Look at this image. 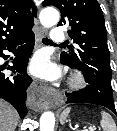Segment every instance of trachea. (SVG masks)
Segmentation results:
<instances>
[{
    "label": "trachea",
    "instance_id": "obj_1",
    "mask_svg": "<svg viewBox=\"0 0 117 131\" xmlns=\"http://www.w3.org/2000/svg\"><path fill=\"white\" fill-rule=\"evenodd\" d=\"M42 42L54 44V43H53L50 39H48V38H43V39H42ZM61 45H63V44H61Z\"/></svg>",
    "mask_w": 117,
    "mask_h": 131
}]
</instances>
